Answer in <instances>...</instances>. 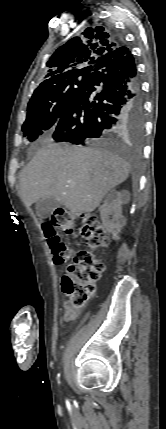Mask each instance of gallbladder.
Returning <instances> with one entry per match:
<instances>
[{"label":"gallbladder","mask_w":166,"mask_h":429,"mask_svg":"<svg viewBox=\"0 0 166 429\" xmlns=\"http://www.w3.org/2000/svg\"><path fill=\"white\" fill-rule=\"evenodd\" d=\"M61 202L57 201L54 197H47L40 199L36 203V214L41 218H47L55 209L60 207Z\"/></svg>","instance_id":"1"}]
</instances>
